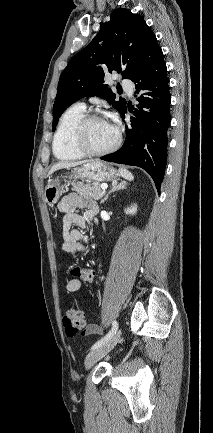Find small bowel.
Masks as SVG:
<instances>
[{
	"mask_svg": "<svg viewBox=\"0 0 213 433\" xmlns=\"http://www.w3.org/2000/svg\"><path fill=\"white\" fill-rule=\"evenodd\" d=\"M58 209L63 214L61 218L62 251L66 253L85 252L88 236L82 230L92 224L98 211L97 204L86 196L70 193L59 203ZM74 225L78 228H74ZM71 274L74 278L66 282L67 292H76L82 287L83 282L93 283L95 280V273L91 269L74 266L71 268ZM86 331L89 334L100 333L99 327L94 324L88 325Z\"/></svg>",
	"mask_w": 213,
	"mask_h": 433,
	"instance_id": "small-bowel-1",
	"label": "small bowel"
}]
</instances>
